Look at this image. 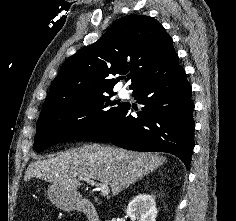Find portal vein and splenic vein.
<instances>
[{"instance_id":"1","label":"portal vein and splenic vein","mask_w":236,"mask_h":221,"mask_svg":"<svg viewBox=\"0 0 236 221\" xmlns=\"http://www.w3.org/2000/svg\"><path fill=\"white\" fill-rule=\"evenodd\" d=\"M80 180H83L91 185L99 186L102 196H108V194L110 192V188L106 184H97L93 180L86 178V177H82V178H80Z\"/></svg>"}]
</instances>
